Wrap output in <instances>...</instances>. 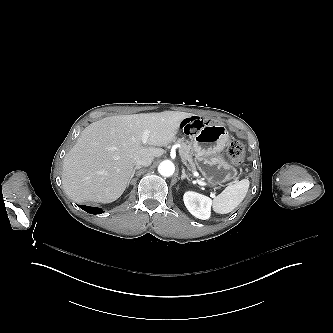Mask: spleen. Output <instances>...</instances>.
Segmentation results:
<instances>
[{"label": "spleen", "mask_w": 333, "mask_h": 333, "mask_svg": "<svg viewBox=\"0 0 333 333\" xmlns=\"http://www.w3.org/2000/svg\"><path fill=\"white\" fill-rule=\"evenodd\" d=\"M250 182L242 179L235 184L228 185L213 199V210L219 214L233 211L246 197Z\"/></svg>", "instance_id": "3e777b00"}]
</instances>
